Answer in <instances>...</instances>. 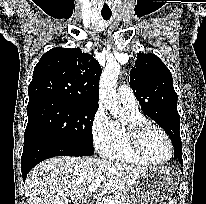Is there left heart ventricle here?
<instances>
[{
	"mask_svg": "<svg viewBox=\"0 0 206 204\" xmlns=\"http://www.w3.org/2000/svg\"><path fill=\"white\" fill-rule=\"evenodd\" d=\"M143 145L147 155L155 161H164L169 156V146L165 138L155 130L146 133Z\"/></svg>",
	"mask_w": 206,
	"mask_h": 204,
	"instance_id": "1",
	"label": "left heart ventricle"
}]
</instances>
